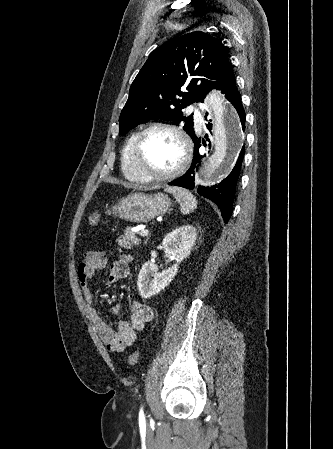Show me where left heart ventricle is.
<instances>
[{"mask_svg":"<svg viewBox=\"0 0 333 449\" xmlns=\"http://www.w3.org/2000/svg\"><path fill=\"white\" fill-rule=\"evenodd\" d=\"M182 159L179 140L163 130H154L144 139L141 150V166L150 174L172 171Z\"/></svg>","mask_w":333,"mask_h":449,"instance_id":"b2bd125f","label":"left heart ventricle"}]
</instances>
